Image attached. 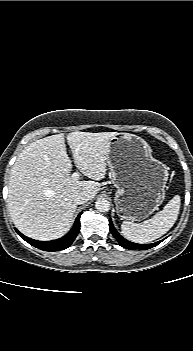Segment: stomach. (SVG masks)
<instances>
[{
  "mask_svg": "<svg viewBox=\"0 0 193 351\" xmlns=\"http://www.w3.org/2000/svg\"><path fill=\"white\" fill-rule=\"evenodd\" d=\"M107 163L122 219L141 221L158 209L165 198L169 173L167 166L152 156L144 139L118 133L110 139Z\"/></svg>",
  "mask_w": 193,
  "mask_h": 351,
  "instance_id": "0dacf381",
  "label": "stomach"
}]
</instances>
